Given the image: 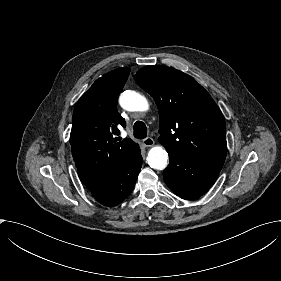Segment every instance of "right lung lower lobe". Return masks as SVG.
I'll use <instances>...</instances> for the list:
<instances>
[{
	"label": "right lung lower lobe",
	"mask_w": 281,
	"mask_h": 281,
	"mask_svg": "<svg viewBox=\"0 0 281 281\" xmlns=\"http://www.w3.org/2000/svg\"><path fill=\"white\" fill-rule=\"evenodd\" d=\"M142 166L140 148L136 149L119 171L90 190L93 197L105 206H115L132 192Z\"/></svg>",
	"instance_id": "1"
}]
</instances>
